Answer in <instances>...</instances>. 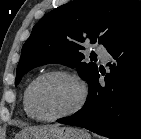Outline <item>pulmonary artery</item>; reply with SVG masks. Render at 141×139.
Returning a JSON list of instances; mask_svg holds the SVG:
<instances>
[{"label": "pulmonary artery", "instance_id": "e3ab8cb5", "mask_svg": "<svg viewBox=\"0 0 141 139\" xmlns=\"http://www.w3.org/2000/svg\"><path fill=\"white\" fill-rule=\"evenodd\" d=\"M96 52L98 53V55L100 56V58L102 59L103 62H107L109 59V54L108 52L104 49V48H97Z\"/></svg>", "mask_w": 141, "mask_h": 139}]
</instances>
